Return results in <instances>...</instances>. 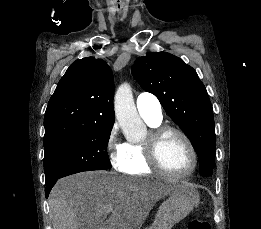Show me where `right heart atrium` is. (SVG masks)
I'll list each match as a JSON object with an SVG mask.
<instances>
[{
  "instance_id": "d8ad5b80",
  "label": "right heart atrium",
  "mask_w": 261,
  "mask_h": 229,
  "mask_svg": "<svg viewBox=\"0 0 261 229\" xmlns=\"http://www.w3.org/2000/svg\"><path fill=\"white\" fill-rule=\"evenodd\" d=\"M106 150L112 167L119 172H125L129 164L126 143L118 138V125H112L106 143Z\"/></svg>"
}]
</instances>
